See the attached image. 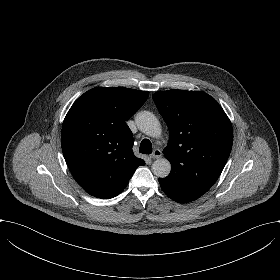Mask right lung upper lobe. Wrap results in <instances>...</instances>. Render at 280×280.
<instances>
[{"label": "right lung upper lobe", "instance_id": "cb5924a9", "mask_svg": "<svg viewBox=\"0 0 280 280\" xmlns=\"http://www.w3.org/2000/svg\"><path fill=\"white\" fill-rule=\"evenodd\" d=\"M149 93L125 87L90 89L68 111L61 131L66 163L76 182L91 196L110 199L145 165L135 157L126 124Z\"/></svg>", "mask_w": 280, "mask_h": 280}]
</instances>
